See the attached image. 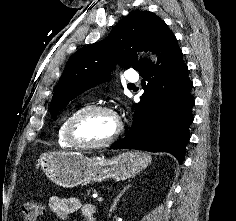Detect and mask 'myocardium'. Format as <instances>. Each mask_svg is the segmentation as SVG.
Here are the masks:
<instances>
[{"label": "myocardium", "mask_w": 236, "mask_h": 221, "mask_svg": "<svg viewBox=\"0 0 236 221\" xmlns=\"http://www.w3.org/2000/svg\"><path fill=\"white\" fill-rule=\"evenodd\" d=\"M97 112H104L113 116L117 122V129L112 137L105 141L96 142V143H85L77 139L75 135V129L77 124L86 116L91 115ZM122 133V123L117 112L110 106L106 105H91L82 108L76 112L68 121L65 131V136L67 141L75 148L78 149H99L112 145L115 143Z\"/></svg>", "instance_id": "obj_1"}]
</instances>
